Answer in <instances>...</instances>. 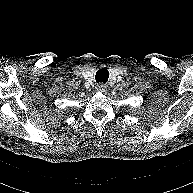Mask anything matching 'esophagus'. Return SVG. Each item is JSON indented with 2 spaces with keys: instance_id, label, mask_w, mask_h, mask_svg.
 <instances>
[{
  "instance_id": "esophagus-1",
  "label": "esophagus",
  "mask_w": 193,
  "mask_h": 193,
  "mask_svg": "<svg viewBox=\"0 0 193 193\" xmlns=\"http://www.w3.org/2000/svg\"><path fill=\"white\" fill-rule=\"evenodd\" d=\"M96 89H97V91H99V92H105V90H106L107 88H106V85H105V84L100 83V84H98V85L96 86Z\"/></svg>"
}]
</instances>
